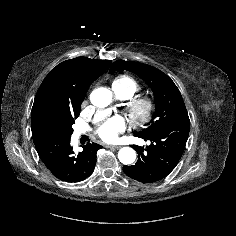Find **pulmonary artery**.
<instances>
[{"label": "pulmonary artery", "mask_w": 236, "mask_h": 236, "mask_svg": "<svg viewBox=\"0 0 236 236\" xmlns=\"http://www.w3.org/2000/svg\"><path fill=\"white\" fill-rule=\"evenodd\" d=\"M113 91L115 92L116 96L120 99H125V96L120 93L117 89H115L114 87H112ZM108 113L107 110H102V111H99L97 116H96V119H101L103 118L106 114ZM86 132V129L84 128H76L75 129V135L76 136H80L81 134L85 133Z\"/></svg>", "instance_id": "e3ab8cb5"}]
</instances>
